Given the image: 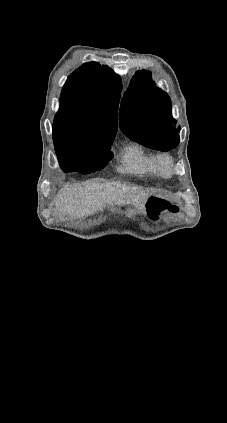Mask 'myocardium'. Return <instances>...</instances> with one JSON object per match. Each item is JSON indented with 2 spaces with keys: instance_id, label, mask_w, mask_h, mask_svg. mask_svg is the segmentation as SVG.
<instances>
[{
  "instance_id": "f54148a6",
  "label": "myocardium",
  "mask_w": 227,
  "mask_h": 423,
  "mask_svg": "<svg viewBox=\"0 0 227 423\" xmlns=\"http://www.w3.org/2000/svg\"><path fill=\"white\" fill-rule=\"evenodd\" d=\"M174 161L168 154H161L158 158V166L162 174L169 176L173 171Z\"/></svg>"
}]
</instances>
